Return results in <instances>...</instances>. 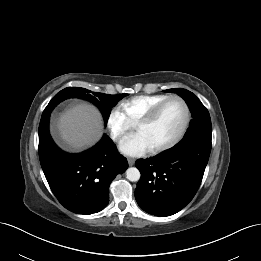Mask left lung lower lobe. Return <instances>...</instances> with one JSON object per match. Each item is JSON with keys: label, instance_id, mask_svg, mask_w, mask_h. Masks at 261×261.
Instances as JSON below:
<instances>
[{"label": "left lung lower lobe", "instance_id": "left-lung-lower-lobe-1", "mask_svg": "<svg viewBox=\"0 0 261 261\" xmlns=\"http://www.w3.org/2000/svg\"><path fill=\"white\" fill-rule=\"evenodd\" d=\"M210 151L211 138L195 136L155 157L138 159V205L155 216H170L183 209L201 184Z\"/></svg>", "mask_w": 261, "mask_h": 261}]
</instances>
